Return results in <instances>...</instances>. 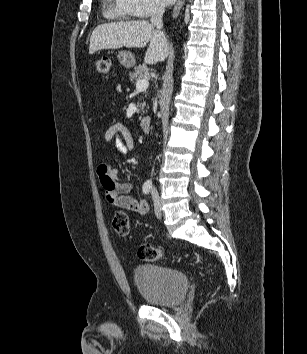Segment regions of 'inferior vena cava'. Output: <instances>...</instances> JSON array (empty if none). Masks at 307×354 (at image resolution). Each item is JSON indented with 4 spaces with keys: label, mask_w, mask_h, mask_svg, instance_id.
<instances>
[{
    "label": "inferior vena cava",
    "mask_w": 307,
    "mask_h": 354,
    "mask_svg": "<svg viewBox=\"0 0 307 354\" xmlns=\"http://www.w3.org/2000/svg\"><path fill=\"white\" fill-rule=\"evenodd\" d=\"M164 7H162L161 5H155L152 8L151 11V24L155 27H157L158 29H162L163 27V21H162V17L164 14ZM153 192L157 193V190L155 189V187H153Z\"/></svg>",
    "instance_id": "1"
}]
</instances>
